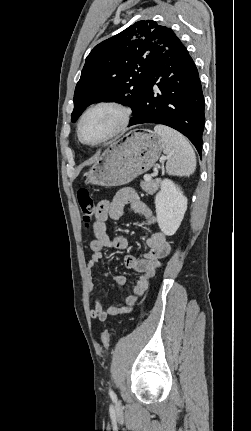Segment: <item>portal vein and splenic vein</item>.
<instances>
[{
    "instance_id": "1",
    "label": "portal vein and splenic vein",
    "mask_w": 251,
    "mask_h": 431,
    "mask_svg": "<svg viewBox=\"0 0 251 431\" xmlns=\"http://www.w3.org/2000/svg\"><path fill=\"white\" fill-rule=\"evenodd\" d=\"M168 157H163V160L167 159ZM152 179V176L149 174L144 175V180L149 181Z\"/></svg>"
}]
</instances>
